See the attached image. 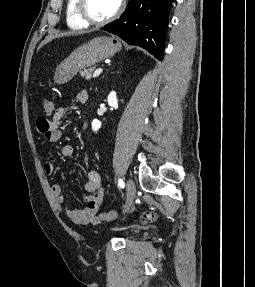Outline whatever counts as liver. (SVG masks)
Listing matches in <instances>:
<instances>
[{
	"instance_id": "1",
	"label": "liver",
	"mask_w": 255,
	"mask_h": 287,
	"mask_svg": "<svg viewBox=\"0 0 255 287\" xmlns=\"http://www.w3.org/2000/svg\"><path fill=\"white\" fill-rule=\"evenodd\" d=\"M75 32H64V34H58V36H46L45 40L41 42L38 46V50L42 48V46H45V44H48V42H52V40H55V38H61V36H74Z\"/></svg>"
}]
</instances>
